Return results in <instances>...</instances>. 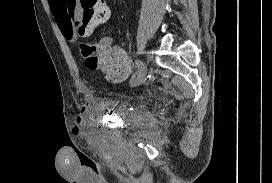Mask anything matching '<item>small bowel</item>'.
<instances>
[{
    "mask_svg": "<svg viewBox=\"0 0 272 183\" xmlns=\"http://www.w3.org/2000/svg\"><path fill=\"white\" fill-rule=\"evenodd\" d=\"M67 0H48L49 6L53 13V16L57 22V25L64 36V38L68 41L74 42L76 41L78 35L72 29L68 23L67 18ZM78 12H76V15ZM81 35V34H80ZM86 36V35H81ZM99 48L102 52L111 54L114 56V61L109 66H101V69L105 73V75L112 81L119 82L125 80L130 72L131 66L128 59V56L124 49L120 47H116L113 44V38L110 35H104L99 44ZM88 114V109L83 108L80 114L77 116L79 119L78 122L83 121Z\"/></svg>",
    "mask_w": 272,
    "mask_h": 183,
    "instance_id": "small-bowel-1",
    "label": "small bowel"
}]
</instances>
